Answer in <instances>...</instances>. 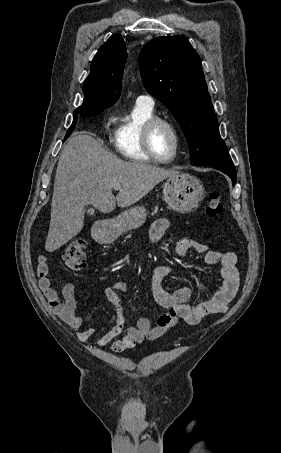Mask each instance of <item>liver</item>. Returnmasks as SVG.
Wrapping results in <instances>:
<instances>
[{"instance_id": "6515ba94", "label": "liver", "mask_w": 281, "mask_h": 453, "mask_svg": "<svg viewBox=\"0 0 281 453\" xmlns=\"http://www.w3.org/2000/svg\"><path fill=\"white\" fill-rule=\"evenodd\" d=\"M176 174L179 170L121 160L94 136L74 132L56 168L46 251H57L82 231L87 204L100 212H112L116 204L131 206L158 182ZM115 184H121L117 196L112 192Z\"/></svg>"}]
</instances>
